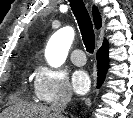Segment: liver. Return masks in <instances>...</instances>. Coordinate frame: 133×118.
Instances as JSON below:
<instances>
[{"label": "liver", "mask_w": 133, "mask_h": 118, "mask_svg": "<svg viewBox=\"0 0 133 118\" xmlns=\"http://www.w3.org/2000/svg\"><path fill=\"white\" fill-rule=\"evenodd\" d=\"M0 118H54L50 108L39 104H18L7 108Z\"/></svg>", "instance_id": "6515ba94"}]
</instances>
